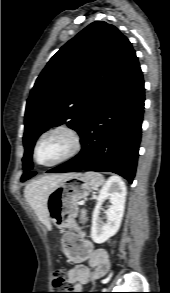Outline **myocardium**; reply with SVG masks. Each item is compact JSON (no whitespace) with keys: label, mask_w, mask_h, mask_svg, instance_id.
<instances>
[{"label":"myocardium","mask_w":170,"mask_h":293,"mask_svg":"<svg viewBox=\"0 0 170 293\" xmlns=\"http://www.w3.org/2000/svg\"><path fill=\"white\" fill-rule=\"evenodd\" d=\"M57 131H64L71 137V141H72L71 149L69 150V152L66 155H64L62 158H60L54 162H51V163L40 162L37 158V151H38V147H39L40 143L48 135H50L54 132H57ZM81 149H82V138H81L80 134L74 128H72L68 125H56V126H53L49 129H47L46 131H44L39 136V138L36 140V142L34 144V148H33V159H34L35 163L40 166L54 167V166L60 165L62 163H65V162L73 159L75 156H77L79 154Z\"/></svg>","instance_id":"1"}]
</instances>
